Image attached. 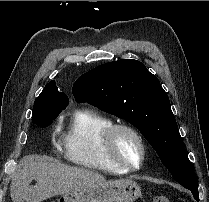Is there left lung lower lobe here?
<instances>
[{"instance_id":"0a47b994","label":"left lung lower lobe","mask_w":209,"mask_h":202,"mask_svg":"<svg viewBox=\"0 0 209 202\" xmlns=\"http://www.w3.org/2000/svg\"><path fill=\"white\" fill-rule=\"evenodd\" d=\"M194 198L199 201L198 191L193 192Z\"/></svg>"}]
</instances>
